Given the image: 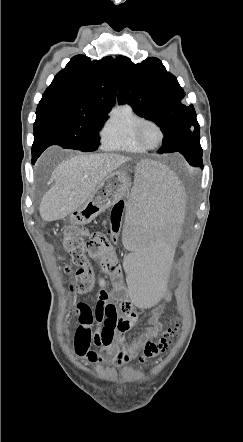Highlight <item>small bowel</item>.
I'll return each instance as SVG.
<instances>
[{
  "instance_id": "1",
  "label": "small bowel",
  "mask_w": 243,
  "mask_h": 442,
  "mask_svg": "<svg viewBox=\"0 0 243 442\" xmlns=\"http://www.w3.org/2000/svg\"><path fill=\"white\" fill-rule=\"evenodd\" d=\"M92 248L89 256L97 260L112 282L99 278V291L94 306L78 302L72 312L77 319L74 350L78 357L92 364L97 371L106 366L119 368L135 358L142 347L155 338L162 329L161 308L154 307L142 332L129 338L127 333L136 322L133 304L125 294L120 264L112 248L101 232L91 234ZM94 324L96 327L93 328ZM97 346L99 351L92 348Z\"/></svg>"
}]
</instances>
